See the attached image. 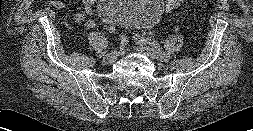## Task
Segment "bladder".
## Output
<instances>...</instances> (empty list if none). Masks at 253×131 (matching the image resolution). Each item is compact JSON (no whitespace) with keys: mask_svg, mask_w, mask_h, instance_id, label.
<instances>
[{"mask_svg":"<svg viewBox=\"0 0 253 131\" xmlns=\"http://www.w3.org/2000/svg\"><path fill=\"white\" fill-rule=\"evenodd\" d=\"M162 13L160 0H100L98 8L102 21L111 26L154 25Z\"/></svg>","mask_w":253,"mask_h":131,"instance_id":"bladder-1","label":"bladder"}]
</instances>
